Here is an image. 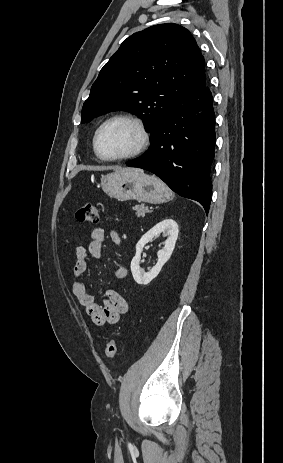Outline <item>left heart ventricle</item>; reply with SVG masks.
I'll list each match as a JSON object with an SVG mask.
<instances>
[{
  "label": "left heart ventricle",
  "instance_id": "b2bd125f",
  "mask_svg": "<svg viewBox=\"0 0 283 463\" xmlns=\"http://www.w3.org/2000/svg\"><path fill=\"white\" fill-rule=\"evenodd\" d=\"M137 129L129 122L116 121L100 133L98 149L105 157H115L131 152L138 144Z\"/></svg>",
  "mask_w": 283,
  "mask_h": 463
}]
</instances>
